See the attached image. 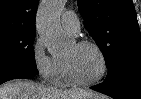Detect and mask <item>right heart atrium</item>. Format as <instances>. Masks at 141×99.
<instances>
[{"label":"right heart atrium","instance_id":"obj_1","mask_svg":"<svg viewBox=\"0 0 141 99\" xmlns=\"http://www.w3.org/2000/svg\"><path fill=\"white\" fill-rule=\"evenodd\" d=\"M32 60L39 76L46 82H53L57 73V61L47 52L40 38L32 45Z\"/></svg>","mask_w":141,"mask_h":99}]
</instances>
